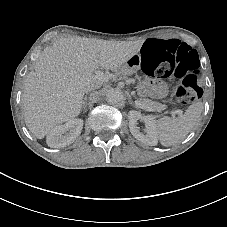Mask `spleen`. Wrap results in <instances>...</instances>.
Instances as JSON below:
<instances>
[{
	"mask_svg": "<svg viewBox=\"0 0 227 227\" xmlns=\"http://www.w3.org/2000/svg\"><path fill=\"white\" fill-rule=\"evenodd\" d=\"M202 112V105L194 103L183 115L178 117L164 116L156 122V136L163 146L180 143L195 127Z\"/></svg>",
	"mask_w": 227,
	"mask_h": 227,
	"instance_id": "obj_1",
	"label": "spleen"
}]
</instances>
